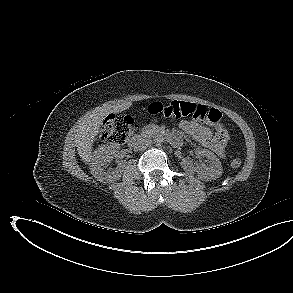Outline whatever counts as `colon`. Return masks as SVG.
<instances>
[{"instance_id": "obj_1", "label": "colon", "mask_w": 293, "mask_h": 293, "mask_svg": "<svg viewBox=\"0 0 293 293\" xmlns=\"http://www.w3.org/2000/svg\"><path fill=\"white\" fill-rule=\"evenodd\" d=\"M148 112L152 115H161L167 118L180 119L191 117L196 120L207 121L216 125V138L221 146H225L229 141L227 129L220 123L221 112L215 108H206L201 104L187 101H172L170 104L152 103L148 107ZM135 131L134 121L130 116L108 117L102 126L101 135L117 144L127 142ZM241 165L239 158H234L230 162L232 169H237Z\"/></svg>"}]
</instances>
